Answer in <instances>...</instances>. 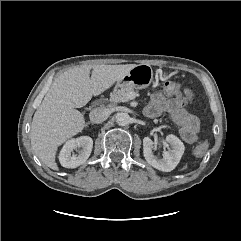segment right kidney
I'll use <instances>...</instances> for the list:
<instances>
[{"mask_svg": "<svg viewBox=\"0 0 241 241\" xmlns=\"http://www.w3.org/2000/svg\"><path fill=\"white\" fill-rule=\"evenodd\" d=\"M93 147V140L89 136H81L66 142L59 154V161L63 167L76 168L86 162ZM81 148L78 154H72L74 150Z\"/></svg>", "mask_w": 241, "mask_h": 241, "instance_id": "obj_1", "label": "right kidney"}]
</instances>
